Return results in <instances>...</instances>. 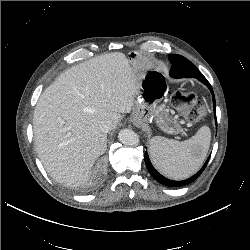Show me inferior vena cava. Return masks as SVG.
Masks as SVG:
<instances>
[{
	"label": "inferior vena cava",
	"instance_id": "602c4592",
	"mask_svg": "<svg viewBox=\"0 0 250 250\" xmlns=\"http://www.w3.org/2000/svg\"><path fill=\"white\" fill-rule=\"evenodd\" d=\"M99 128L102 132L107 133L111 130V124L107 121H104L99 125Z\"/></svg>",
	"mask_w": 250,
	"mask_h": 250
}]
</instances>
